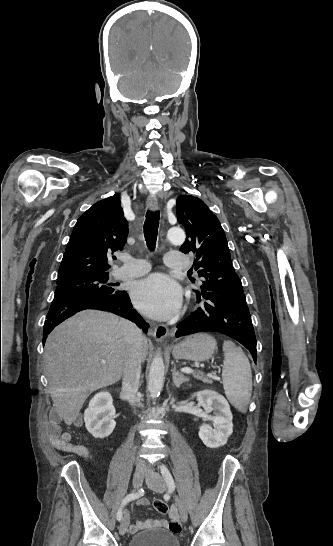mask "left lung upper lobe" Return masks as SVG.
I'll list each match as a JSON object with an SVG mask.
<instances>
[{"mask_svg":"<svg viewBox=\"0 0 333 546\" xmlns=\"http://www.w3.org/2000/svg\"><path fill=\"white\" fill-rule=\"evenodd\" d=\"M178 222L186 230V240L180 251L195 254V270L202 281L199 293L220 296L244 294L241 280L232 266L224 230L217 217L197 197L177 198Z\"/></svg>","mask_w":333,"mask_h":546,"instance_id":"5c2ea615","label":"left lung upper lobe"}]
</instances>
